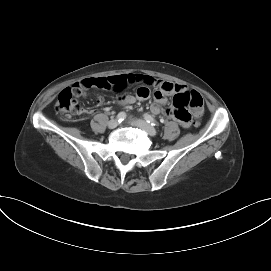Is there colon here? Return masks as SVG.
Listing matches in <instances>:
<instances>
[{"label": "colon", "instance_id": "1", "mask_svg": "<svg viewBox=\"0 0 271 271\" xmlns=\"http://www.w3.org/2000/svg\"><path fill=\"white\" fill-rule=\"evenodd\" d=\"M91 87H95V82L76 83L72 87L65 88L57 97L55 110L65 117H71L82 113L83 109L74 97L81 95L85 89ZM173 105L179 109L189 106L194 110L196 115H200L203 111L204 100L198 92L191 91L187 94L175 95ZM196 125H198V122H196Z\"/></svg>", "mask_w": 271, "mask_h": 271}]
</instances>
